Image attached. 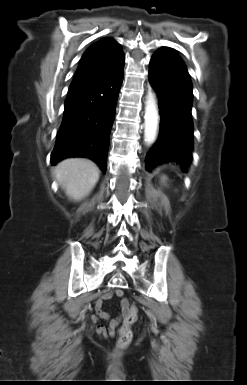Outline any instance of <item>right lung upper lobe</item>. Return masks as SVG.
<instances>
[{
    "mask_svg": "<svg viewBox=\"0 0 247 385\" xmlns=\"http://www.w3.org/2000/svg\"><path fill=\"white\" fill-rule=\"evenodd\" d=\"M125 62L120 44L105 38L93 44L82 56L70 86L117 70Z\"/></svg>",
    "mask_w": 247,
    "mask_h": 385,
    "instance_id": "obj_1",
    "label": "right lung upper lobe"
}]
</instances>
